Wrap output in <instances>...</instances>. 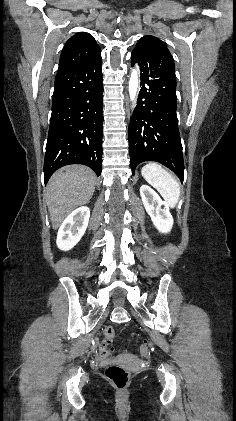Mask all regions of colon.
Returning a JSON list of instances; mask_svg holds the SVG:
<instances>
[{
  "label": "colon",
  "mask_w": 236,
  "mask_h": 421,
  "mask_svg": "<svg viewBox=\"0 0 236 421\" xmlns=\"http://www.w3.org/2000/svg\"><path fill=\"white\" fill-rule=\"evenodd\" d=\"M114 330L108 327L104 331L103 339L100 344V354L105 358L111 356L109 345L114 338ZM139 354L146 358L150 354V347L148 343H143L139 348ZM106 378L112 382L116 387L122 389L127 386L130 380V372L119 365H110L105 371Z\"/></svg>",
  "instance_id": "obj_1"
}]
</instances>
